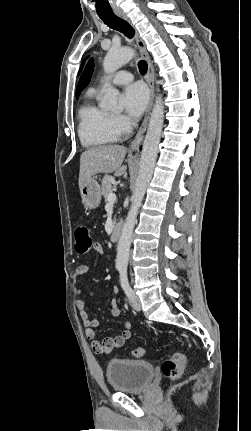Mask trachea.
Instances as JSON below:
<instances>
[{
  "label": "trachea",
  "instance_id": "1",
  "mask_svg": "<svg viewBox=\"0 0 251 431\" xmlns=\"http://www.w3.org/2000/svg\"><path fill=\"white\" fill-rule=\"evenodd\" d=\"M99 17L108 27L123 33L126 37L132 38L134 36L135 31L133 27L127 21L116 16L114 13L99 15ZM138 67L141 74L144 75L147 73L148 65L146 61H139Z\"/></svg>",
  "mask_w": 251,
  "mask_h": 431
}]
</instances>
